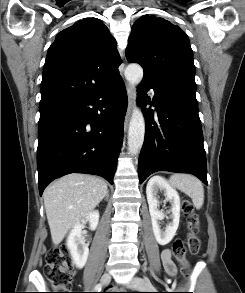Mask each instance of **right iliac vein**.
Returning a JSON list of instances; mask_svg holds the SVG:
<instances>
[{
    "mask_svg": "<svg viewBox=\"0 0 245 293\" xmlns=\"http://www.w3.org/2000/svg\"><path fill=\"white\" fill-rule=\"evenodd\" d=\"M111 281V276L109 273H105L103 274V276L101 277V283L102 285H107L109 284Z\"/></svg>",
    "mask_w": 245,
    "mask_h": 293,
    "instance_id": "63e3f726",
    "label": "right iliac vein"
}]
</instances>
